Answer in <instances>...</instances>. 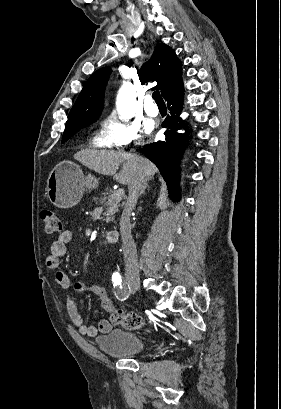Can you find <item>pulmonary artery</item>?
<instances>
[{"instance_id":"obj_1","label":"pulmonary artery","mask_w":281,"mask_h":409,"mask_svg":"<svg viewBox=\"0 0 281 409\" xmlns=\"http://www.w3.org/2000/svg\"><path fill=\"white\" fill-rule=\"evenodd\" d=\"M145 109L147 113L152 117H157L159 115L157 102H146Z\"/></svg>"}]
</instances>
